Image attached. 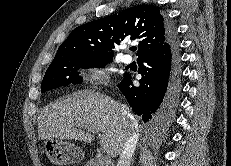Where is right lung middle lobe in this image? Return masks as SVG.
I'll list each match as a JSON object with an SVG mask.
<instances>
[{"mask_svg": "<svg viewBox=\"0 0 231 166\" xmlns=\"http://www.w3.org/2000/svg\"><path fill=\"white\" fill-rule=\"evenodd\" d=\"M112 61L113 57L101 55H82L53 60L43 78L41 92L71 83H80L82 78L79 76V69L100 68Z\"/></svg>", "mask_w": 231, "mask_h": 166, "instance_id": "1", "label": "right lung middle lobe"}]
</instances>
